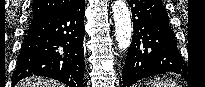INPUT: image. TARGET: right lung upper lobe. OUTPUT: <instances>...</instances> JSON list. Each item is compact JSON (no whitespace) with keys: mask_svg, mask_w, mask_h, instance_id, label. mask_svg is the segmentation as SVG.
<instances>
[{"mask_svg":"<svg viewBox=\"0 0 205 87\" xmlns=\"http://www.w3.org/2000/svg\"><path fill=\"white\" fill-rule=\"evenodd\" d=\"M80 0H33L32 18L60 12Z\"/></svg>","mask_w":205,"mask_h":87,"instance_id":"cb5924a9","label":"right lung upper lobe"}]
</instances>
